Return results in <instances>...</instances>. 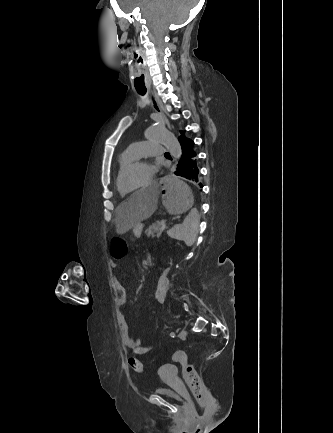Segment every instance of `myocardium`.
Returning <instances> with one entry per match:
<instances>
[{
	"label": "myocardium",
	"instance_id": "f54148a6",
	"mask_svg": "<svg viewBox=\"0 0 333 433\" xmlns=\"http://www.w3.org/2000/svg\"><path fill=\"white\" fill-rule=\"evenodd\" d=\"M145 164H148V162H147V160H145V159H136V160H134V161H132L131 163H129L123 170H122V172H121V174H120V176H119V178H118V188H119V191L121 192V193H124V194H126V195H128V194H132V193H136V192H138L139 190H141V189H144V188H146V187H148V186H150L151 185V179H148L145 183H143L142 185H140V186H138L137 188H134V189H126L125 187H124V184H123V180H124V178H125V176L133 169V168H135L136 166H139V165H145Z\"/></svg>",
	"mask_w": 333,
	"mask_h": 433
}]
</instances>
